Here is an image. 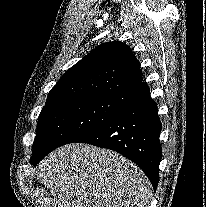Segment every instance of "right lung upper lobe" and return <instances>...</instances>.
Segmentation results:
<instances>
[{"label": "right lung upper lobe", "mask_w": 206, "mask_h": 207, "mask_svg": "<svg viewBox=\"0 0 206 207\" xmlns=\"http://www.w3.org/2000/svg\"><path fill=\"white\" fill-rule=\"evenodd\" d=\"M141 82L140 63L131 48L120 41L107 42L72 66L51 89L47 102L126 95Z\"/></svg>", "instance_id": "obj_1"}]
</instances>
